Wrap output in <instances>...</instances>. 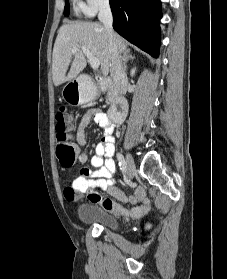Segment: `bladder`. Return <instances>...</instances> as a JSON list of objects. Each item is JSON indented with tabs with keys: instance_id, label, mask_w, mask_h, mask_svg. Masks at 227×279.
<instances>
[{
	"instance_id": "bladder-1",
	"label": "bladder",
	"mask_w": 227,
	"mask_h": 279,
	"mask_svg": "<svg viewBox=\"0 0 227 279\" xmlns=\"http://www.w3.org/2000/svg\"><path fill=\"white\" fill-rule=\"evenodd\" d=\"M78 220L84 225H99L111 232H118L119 220L103 211L95 202L83 204L77 214Z\"/></svg>"
}]
</instances>
